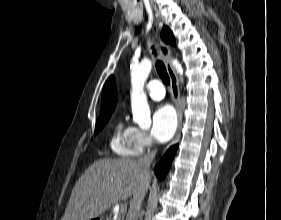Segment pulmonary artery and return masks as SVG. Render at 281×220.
<instances>
[{
    "instance_id": "obj_1",
    "label": "pulmonary artery",
    "mask_w": 281,
    "mask_h": 220,
    "mask_svg": "<svg viewBox=\"0 0 281 220\" xmlns=\"http://www.w3.org/2000/svg\"><path fill=\"white\" fill-rule=\"evenodd\" d=\"M146 90L155 101L162 100L165 96V90L163 85L158 80H152L146 85Z\"/></svg>"
}]
</instances>
